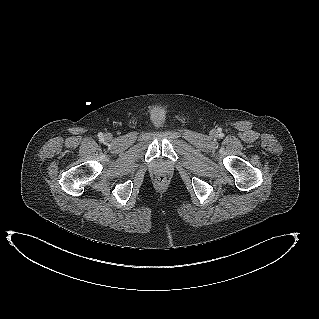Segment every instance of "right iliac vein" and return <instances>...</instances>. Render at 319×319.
<instances>
[{"instance_id": "right-iliac-vein-1", "label": "right iliac vein", "mask_w": 319, "mask_h": 319, "mask_svg": "<svg viewBox=\"0 0 319 319\" xmlns=\"http://www.w3.org/2000/svg\"><path fill=\"white\" fill-rule=\"evenodd\" d=\"M105 139L106 140H111L112 139V135L111 134H106L105 135Z\"/></svg>"}]
</instances>
